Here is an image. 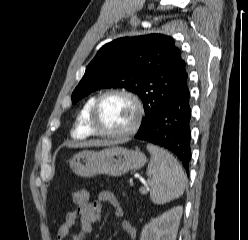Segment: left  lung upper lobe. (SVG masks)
Wrapping results in <instances>:
<instances>
[{
  "mask_svg": "<svg viewBox=\"0 0 248 240\" xmlns=\"http://www.w3.org/2000/svg\"><path fill=\"white\" fill-rule=\"evenodd\" d=\"M186 62L172 37L149 34L123 37L105 44L87 66L72 93V103L91 92L121 87L142 100L144 129L172 98L188 88Z\"/></svg>",
  "mask_w": 248,
  "mask_h": 240,
  "instance_id": "5c2ea615",
  "label": "left lung upper lobe"
}]
</instances>
